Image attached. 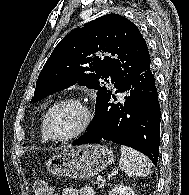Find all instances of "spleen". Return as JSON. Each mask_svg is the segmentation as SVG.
Segmentation results:
<instances>
[{"label": "spleen", "instance_id": "spleen-1", "mask_svg": "<svg viewBox=\"0 0 189 195\" xmlns=\"http://www.w3.org/2000/svg\"><path fill=\"white\" fill-rule=\"evenodd\" d=\"M120 150L119 167L127 176L145 177L151 172V163L146 156L126 146H121Z\"/></svg>", "mask_w": 189, "mask_h": 195}]
</instances>
